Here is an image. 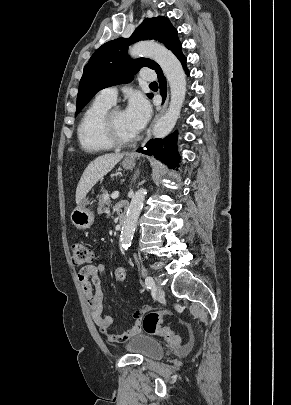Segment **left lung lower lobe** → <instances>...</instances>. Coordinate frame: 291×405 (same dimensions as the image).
I'll list each match as a JSON object with an SVG mask.
<instances>
[{
  "label": "left lung lower lobe",
  "instance_id": "0a47b994",
  "mask_svg": "<svg viewBox=\"0 0 291 405\" xmlns=\"http://www.w3.org/2000/svg\"><path fill=\"white\" fill-rule=\"evenodd\" d=\"M171 51L177 56V58L182 63L186 74L189 75V71L186 67V57L182 53V44L180 41L176 43ZM158 74V80L160 83V93L163 97V101L166 97V79L163 75L162 69L159 67L156 70ZM152 95L150 96V98ZM177 132L173 133L172 135L164 138V139H152L150 140L144 148H140L137 152L146 154V155H153L156 159L162 161L165 164H168L170 167H178L179 166V155L177 152Z\"/></svg>",
  "mask_w": 291,
  "mask_h": 405
}]
</instances>
